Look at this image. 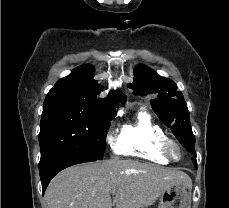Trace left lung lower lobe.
<instances>
[{
	"mask_svg": "<svg viewBox=\"0 0 229 208\" xmlns=\"http://www.w3.org/2000/svg\"><path fill=\"white\" fill-rule=\"evenodd\" d=\"M184 148H186V150L191 153L193 155L192 157V162L195 166V169H197V161H196V153H195V143L193 144H190V145H186V146H183Z\"/></svg>",
	"mask_w": 229,
	"mask_h": 208,
	"instance_id": "obj_1",
	"label": "left lung lower lobe"
}]
</instances>
